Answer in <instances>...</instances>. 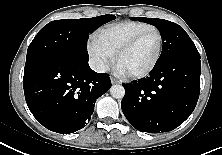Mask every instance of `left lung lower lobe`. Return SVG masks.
<instances>
[{
  "mask_svg": "<svg viewBox=\"0 0 222 155\" xmlns=\"http://www.w3.org/2000/svg\"><path fill=\"white\" fill-rule=\"evenodd\" d=\"M200 57L177 56L156 63L145 79L122 84V111L142 132H168L193 112L200 93Z\"/></svg>",
  "mask_w": 222,
  "mask_h": 155,
  "instance_id": "1",
  "label": "left lung lower lobe"
}]
</instances>
